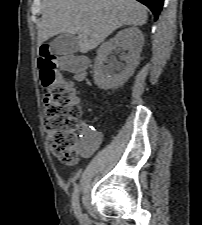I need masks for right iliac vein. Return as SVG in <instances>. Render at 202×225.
<instances>
[{
  "mask_svg": "<svg viewBox=\"0 0 202 225\" xmlns=\"http://www.w3.org/2000/svg\"><path fill=\"white\" fill-rule=\"evenodd\" d=\"M82 221H84L86 219L85 215L81 214V218Z\"/></svg>",
  "mask_w": 202,
  "mask_h": 225,
  "instance_id": "right-iliac-vein-1",
  "label": "right iliac vein"
}]
</instances>
